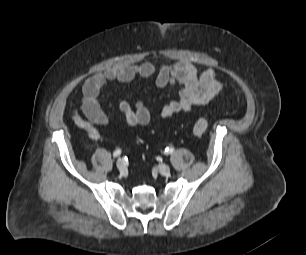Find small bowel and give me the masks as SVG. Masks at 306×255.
Returning a JSON list of instances; mask_svg holds the SVG:
<instances>
[{
	"label": "small bowel",
	"instance_id": "small-bowel-1",
	"mask_svg": "<svg viewBox=\"0 0 306 255\" xmlns=\"http://www.w3.org/2000/svg\"><path fill=\"white\" fill-rule=\"evenodd\" d=\"M152 76H155L156 86L160 89L168 86L178 87V98L168 101L161 108L159 115L162 119L189 112L194 106L208 104L223 87L213 68L199 73L197 68L188 61L163 63L159 66L151 62L128 66L115 65L85 80L82 87L81 111L72 112L73 122L79 128L86 130L91 140H97L100 137L99 127L110 123V118L100 106L101 93L106 83L108 81L130 82L137 77L146 79ZM118 108L128 128L146 126L151 121L150 109L141 101L132 105L122 100Z\"/></svg>",
	"mask_w": 306,
	"mask_h": 255
}]
</instances>
